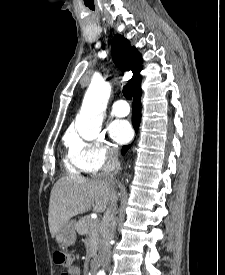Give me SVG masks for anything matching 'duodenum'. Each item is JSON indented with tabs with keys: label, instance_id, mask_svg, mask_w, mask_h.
I'll return each instance as SVG.
<instances>
[{
	"label": "duodenum",
	"instance_id": "1",
	"mask_svg": "<svg viewBox=\"0 0 225 275\" xmlns=\"http://www.w3.org/2000/svg\"><path fill=\"white\" fill-rule=\"evenodd\" d=\"M96 265H97L96 258L92 257L91 261H90V274L91 275H95Z\"/></svg>",
	"mask_w": 225,
	"mask_h": 275
}]
</instances>
